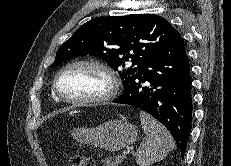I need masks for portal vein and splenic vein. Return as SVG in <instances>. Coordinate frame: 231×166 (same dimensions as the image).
Returning a JSON list of instances; mask_svg holds the SVG:
<instances>
[{
  "mask_svg": "<svg viewBox=\"0 0 231 166\" xmlns=\"http://www.w3.org/2000/svg\"><path fill=\"white\" fill-rule=\"evenodd\" d=\"M126 155H127V152H126V151H123V152H122V155L119 156V157H122V158H123V157H125Z\"/></svg>",
  "mask_w": 231,
  "mask_h": 166,
  "instance_id": "1",
  "label": "portal vein and splenic vein"
}]
</instances>
